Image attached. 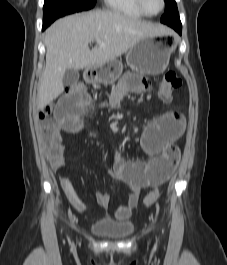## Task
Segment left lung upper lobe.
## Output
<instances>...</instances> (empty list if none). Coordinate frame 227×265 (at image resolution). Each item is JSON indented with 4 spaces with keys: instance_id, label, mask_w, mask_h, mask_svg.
Returning a JSON list of instances; mask_svg holds the SVG:
<instances>
[{
    "instance_id": "1",
    "label": "left lung upper lobe",
    "mask_w": 227,
    "mask_h": 265,
    "mask_svg": "<svg viewBox=\"0 0 227 265\" xmlns=\"http://www.w3.org/2000/svg\"><path fill=\"white\" fill-rule=\"evenodd\" d=\"M166 4L165 13L161 18V22L171 26V24H181L177 5L175 0H164Z\"/></svg>"
}]
</instances>
